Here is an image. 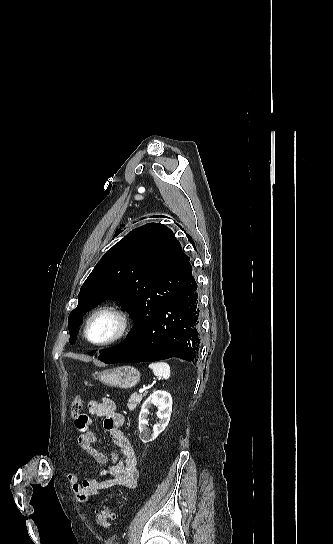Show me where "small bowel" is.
<instances>
[{"label": "small bowel", "mask_w": 333, "mask_h": 544, "mask_svg": "<svg viewBox=\"0 0 333 544\" xmlns=\"http://www.w3.org/2000/svg\"><path fill=\"white\" fill-rule=\"evenodd\" d=\"M87 408L88 414H82L75 420V426L80 433L77 439L80 448L90 454L99 464L107 462L106 455L95 447L98 437L92 429V416H97L104 419V428L118 447L121 456L116 453L112 454L113 464L99 472L101 478L91 477L80 481L78 474L70 473L68 475L72 491L80 502H85L90 497L111 487L134 488L139 478L136 453L121 429L124 424V416L118 412L115 403L109 398L91 400Z\"/></svg>", "instance_id": "small-bowel-1"}]
</instances>
